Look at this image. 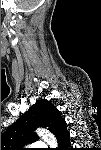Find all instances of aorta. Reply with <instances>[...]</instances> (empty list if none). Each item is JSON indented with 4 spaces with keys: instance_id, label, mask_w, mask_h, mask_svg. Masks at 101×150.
Returning a JSON list of instances; mask_svg holds the SVG:
<instances>
[{
    "instance_id": "aorta-1",
    "label": "aorta",
    "mask_w": 101,
    "mask_h": 150,
    "mask_svg": "<svg viewBox=\"0 0 101 150\" xmlns=\"http://www.w3.org/2000/svg\"><path fill=\"white\" fill-rule=\"evenodd\" d=\"M37 134L45 141L47 142L51 147H56L57 146V140L55 136L49 132L46 129H38Z\"/></svg>"
}]
</instances>
